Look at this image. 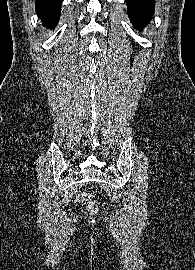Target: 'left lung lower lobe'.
I'll list each match as a JSON object with an SVG mask.
<instances>
[{"label": "left lung lower lobe", "mask_w": 195, "mask_h": 270, "mask_svg": "<svg viewBox=\"0 0 195 270\" xmlns=\"http://www.w3.org/2000/svg\"><path fill=\"white\" fill-rule=\"evenodd\" d=\"M154 2L155 0H126L128 15L135 28L142 29L149 23L154 14Z\"/></svg>", "instance_id": "0a47b994"}]
</instances>
